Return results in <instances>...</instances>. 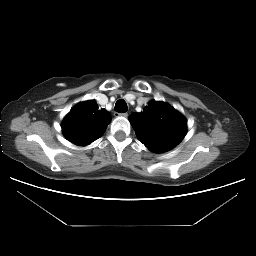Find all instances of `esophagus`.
Segmentation results:
<instances>
[{
    "mask_svg": "<svg viewBox=\"0 0 256 256\" xmlns=\"http://www.w3.org/2000/svg\"><path fill=\"white\" fill-rule=\"evenodd\" d=\"M118 115H119V116H123V117H127V116H128V113H121V114L119 113Z\"/></svg>",
    "mask_w": 256,
    "mask_h": 256,
    "instance_id": "obj_1",
    "label": "esophagus"
}]
</instances>
